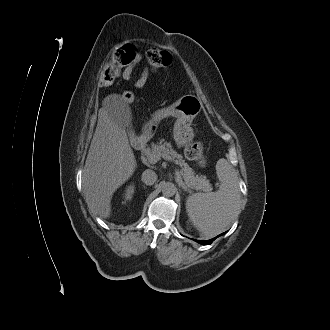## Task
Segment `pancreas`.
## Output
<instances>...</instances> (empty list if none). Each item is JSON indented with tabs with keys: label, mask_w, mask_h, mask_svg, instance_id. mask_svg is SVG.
<instances>
[{
	"label": "pancreas",
	"mask_w": 330,
	"mask_h": 330,
	"mask_svg": "<svg viewBox=\"0 0 330 330\" xmlns=\"http://www.w3.org/2000/svg\"><path fill=\"white\" fill-rule=\"evenodd\" d=\"M144 154L148 157L150 154L163 158L165 160H172L176 162L180 167V174L183 178V183L186 187L193 190H201L208 192L212 190V185L205 176H198L194 174L193 170L183 159V156L178 154L173 148L171 143L161 139L159 143L153 144L151 147H147L144 150Z\"/></svg>",
	"instance_id": "cf45deb5"
}]
</instances>
